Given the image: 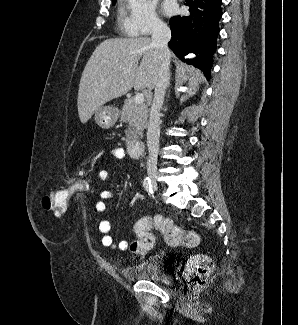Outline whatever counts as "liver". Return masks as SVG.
I'll use <instances>...</instances> for the list:
<instances>
[{
  "mask_svg": "<svg viewBox=\"0 0 298 325\" xmlns=\"http://www.w3.org/2000/svg\"><path fill=\"white\" fill-rule=\"evenodd\" d=\"M158 70L157 50L149 36L107 38L100 42L79 82L77 106L81 122H87L103 104L126 94L133 86L155 88Z\"/></svg>",
  "mask_w": 298,
  "mask_h": 325,
  "instance_id": "obj_1",
  "label": "liver"
}]
</instances>
